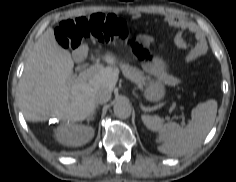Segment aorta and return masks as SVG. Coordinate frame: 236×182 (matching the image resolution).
<instances>
[{
	"label": "aorta",
	"mask_w": 236,
	"mask_h": 182,
	"mask_svg": "<svg viewBox=\"0 0 236 182\" xmlns=\"http://www.w3.org/2000/svg\"><path fill=\"white\" fill-rule=\"evenodd\" d=\"M114 114L120 119L129 118L132 112L131 105L126 100H119L114 104Z\"/></svg>",
	"instance_id": "obj_1"
}]
</instances>
